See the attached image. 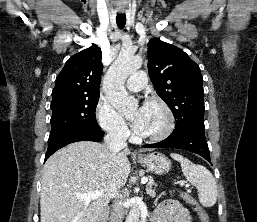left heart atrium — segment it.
<instances>
[{"label":"left heart atrium","instance_id":"39dd6f15","mask_svg":"<svg viewBox=\"0 0 257 222\" xmlns=\"http://www.w3.org/2000/svg\"><path fill=\"white\" fill-rule=\"evenodd\" d=\"M145 120H146V106L143 105L137 111L132 127L138 134H143L145 131Z\"/></svg>","mask_w":257,"mask_h":222}]
</instances>
